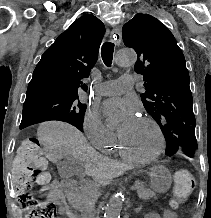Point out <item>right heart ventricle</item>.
I'll use <instances>...</instances> for the list:
<instances>
[{"mask_svg":"<svg viewBox=\"0 0 211 218\" xmlns=\"http://www.w3.org/2000/svg\"><path fill=\"white\" fill-rule=\"evenodd\" d=\"M101 151L106 154L123 156L119 150L116 139L111 143L101 148ZM124 157V156H123Z\"/></svg>","mask_w":211,"mask_h":218,"instance_id":"right-heart-ventricle-1","label":"right heart ventricle"}]
</instances>
